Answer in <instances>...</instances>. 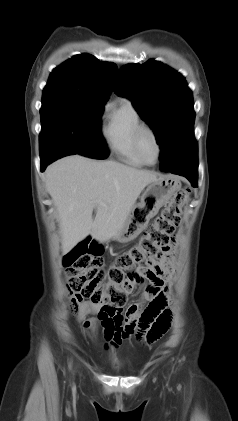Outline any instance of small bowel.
Listing matches in <instances>:
<instances>
[{
    "label": "small bowel",
    "instance_id": "c3829d8e",
    "mask_svg": "<svg viewBox=\"0 0 238 421\" xmlns=\"http://www.w3.org/2000/svg\"><path fill=\"white\" fill-rule=\"evenodd\" d=\"M176 261L174 248L166 250L161 257L146 268L137 269L131 276L134 288L143 287L141 300L127 307L124 315L116 311L109 325L102 323L108 346H118L135 335L137 339L152 341L163 334L170 325L172 300L170 284L173 279ZM146 306L142 308L143 304ZM101 307L94 303H84L77 317L85 330L94 332L98 321L85 320L89 314L100 312Z\"/></svg>",
    "mask_w": 238,
    "mask_h": 421
}]
</instances>
